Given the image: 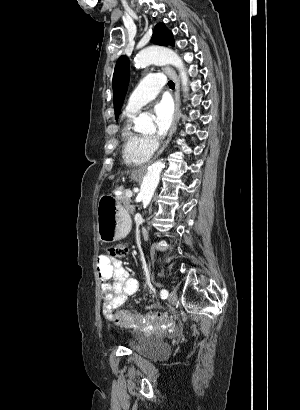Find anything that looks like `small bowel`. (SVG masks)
Returning a JSON list of instances; mask_svg holds the SVG:
<instances>
[{
	"mask_svg": "<svg viewBox=\"0 0 300 410\" xmlns=\"http://www.w3.org/2000/svg\"><path fill=\"white\" fill-rule=\"evenodd\" d=\"M97 274L103 296L102 313L107 319H111L126 299L137 292L138 281L118 259L108 254L97 257Z\"/></svg>",
	"mask_w": 300,
	"mask_h": 410,
	"instance_id": "small-bowel-1",
	"label": "small bowel"
}]
</instances>
